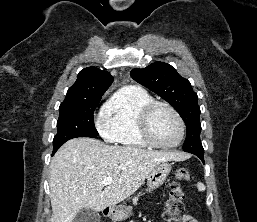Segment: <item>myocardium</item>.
<instances>
[{"instance_id":"f54148a6","label":"myocardium","mask_w":257,"mask_h":222,"mask_svg":"<svg viewBox=\"0 0 257 222\" xmlns=\"http://www.w3.org/2000/svg\"><path fill=\"white\" fill-rule=\"evenodd\" d=\"M164 107L168 109L176 118L178 125H179V137L176 142L172 144H162L156 141L154 138L151 127H150V120L153 112L159 108ZM139 130L141 137L143 140L150 146L159 148V149H174L182 143L184 137H185V123L180 115V113L176 110L175 107H173L171 104L163 101H155L148 103L141 111L139 116Z\"/></svg>"}]
</instances>
